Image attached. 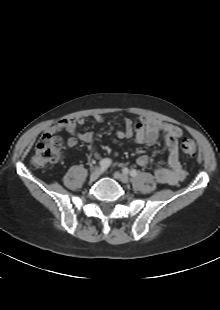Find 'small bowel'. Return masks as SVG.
<instances>
[{
	"instance_id": "obj_1",
	"label": "small bowel",
	"mask_w": 220,
	"mask_h": 310,
	"mask_svg": "<svg viewBox=\"0 0 220 310\" xmlns=\"http://www.w3.org/2000/svg\"><path fill=\"white\" fill-rule=\"evenodd\" d=\"M95 121L103 122L104 117L100 114L94 116ZM85 123L82 116L76 118H65L51 124L47 132L56 133L66 131L69 134L67 145L70 148L75 147L78 141H82L92 146L91 154L96 160L100 159V153L94 146L95 135L90 132H79L77 127ZM164 134V143L168 150V166H159L154 170L153 177L156 182L171 186L178 185L185 178V171L180 161L179 139L183 136V130L174 124L166 123L154 118H141L137 121L126 119L123 129L116 132L119 139H133L136 143L152 145L159 135ZM140 167H146L149 164L147 155H140L136 159Z\"/></svg>"
}]
</instances>
